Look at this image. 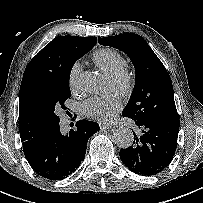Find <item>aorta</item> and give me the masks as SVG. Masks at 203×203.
<instances>
[{
  "label": "aorta",
  "mask_w": 203,
  "mask_h": 203,
  "mask_svg": "<svg viewBox=\"0 0 203 203\" xmlns=\"http://www.w3.org/2000/svg\"><path fill=\"white\" fill-rule=\"evenodd\" d=\"M101 79L95 72L87 71L82 74L80 86L87 92L97 93L101 89ZM114 143L119 148H128L132 145L134 136L130 129L122 127L114 133Z\"/></svg>",
  "instance_id": "aorta-1"
}]
</instances>
